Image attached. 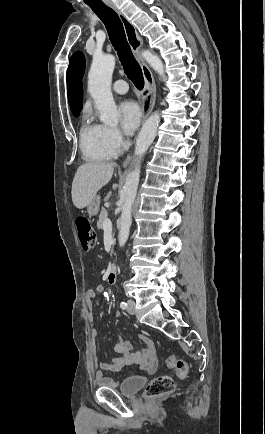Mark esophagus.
<instances>
[{"label":"esophagus","mask_w":265,"mask_h":434,"mask_svg":"<svg viewBox=\"0 0 265 434\" xmlns=\"http://www.w3.org/2000/svg\"><path fill=\"white\" fill-rule=\"evenodd\" d=\"M107 5L111 7L119 16L125 30L128 44L130 45L132 52L134 53L136 60L139 63L143 72V77L145 79L146 91H147L145 97L143 98V103H142V122H144L152 112L155 105L156 83L151 70L148 68V66L140 56V49L143 45V41L142 38L139 36L135 25L131 23V21L126 17V15H124V13H122L121 10H119L114 3L112 2L107 3ZM131 158H132L131 154H129L125 158L123 162V167L128 166V164L131 161Z\"/></svg>","instance_id":"obj_1"}]
</instances>
